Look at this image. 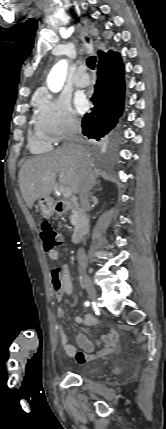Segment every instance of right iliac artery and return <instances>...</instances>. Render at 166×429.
Masks as SVG:
<instances>
[{
	"label": "right iliac artery",
	"mask_w": 166,
	"mask_h": 429,
	"mask_svg": "<svg viewBox=\"0 0 166 429\" xmlns=\"http://www.w3.org/2000/svg\"><path fill=\"white\" fill-rule=\"evenodd\" d=\"M84 305H85L86 307H88V306L90 305V302H89V301H86V302L84 303Z\"/></svg>",
	"instance_id": "right-iliac-artery-1"
}]
</instances>
